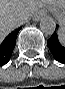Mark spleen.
Here are the masks:
<instances>
[{"label":"spleen","mask_w":65,"mask_h":89,"mask_svg":"<svg viewBox=\"0 0 65 89\" xmlns=\"http://www.w3.org/2000/svg\"><path fill=\"white\" fill-rule=\"evenodd\" d=\"M58 38L61 44H65V30L63 27L58 30Z\"/></svg>","instance_id":"1"}]
</instances>
